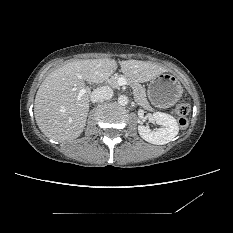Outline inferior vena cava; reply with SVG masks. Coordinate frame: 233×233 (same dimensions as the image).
<instances>
[{
    "mask_svg": "<svg viewBox=\"0 0 233 233\" xmlns=\"http://www.w3.org/2000/svg\"><path fill=\"white\" fill-rule=\"evenodd\" d=\"M113 97V90L108 86L99 87L91 93L90 100L95 103L99 100H109Z\"/></svg>",
    "mask_w": 233,
    "mask_h": 233,
    "instance_id": "inferior-vena-cava-1",
    "label": "inferior vena cava"
}]
</instances>
